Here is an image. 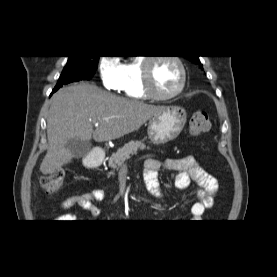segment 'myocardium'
Returning <instances> with one entry per match:
<instances>
[{
    "mask_svg": "<svg viewBox=\"0 0 277 277\" xmlns=\"http://www.w3.org/2000/svg\"><path fill=\"white\" fill-rule=\"evenodd\" d=\"M159 59H168L173 61L179 68L180 71V83L179 86L177 87V89L175 91H173L170 94L167 95H161L159 94L153 86V79H152V66L153 64L159 60ZM142 88L144 93L155 100H170L173 99L175 97H177L178 95H180L186 85V81H187V71L185 68V65L183 63V61L181 60L180 57H177L176 55H164V56H160V57H148L146 59L143 60V64H142Z\"/></svg>",
    "mask_w": 277,
    "mask_h": 277,
    "instance_id": "f54148a6",
    "label": "myocardium"
}]
</instances>
